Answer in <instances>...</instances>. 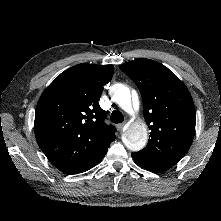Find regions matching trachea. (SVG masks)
<instances>
[{
	"instance_id": "obj_1",
	"label": "trachea",
	"mask_w": 221,
	"mask_h": 221,
	"mask_svg": "<svg viewBox=\"0 0 221 221\" xmlns=\"http://www.w3.org/2000/svg\"><path fill=\"white\" fill-rule=\"evenodd\" d=\"M111 121L113 123H122L124 121V116L119 110H114L111 114Z\"/></svg>"
}]
</instances>
